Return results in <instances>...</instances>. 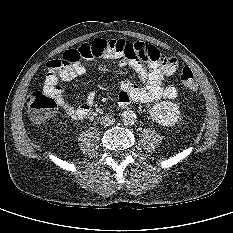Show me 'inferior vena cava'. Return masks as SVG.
I'll list each match as a JSON object with an SVG mask.
<instances>
[{"instance_id":"602c4592","label":"inferior vena cava","mask_w":233,"mask_h":233,"mask_svg":"<svg viewBox=\"0 0 233 233\" xmlns=\"http://www.w3.org/2000/svg\"><path fill=\"white\" fill-rule=\"evenodd\" d=\"M100 123L103 126H109L115 123V118L112 115H104L100 119Z\"/></svg>"}]
</instances>
